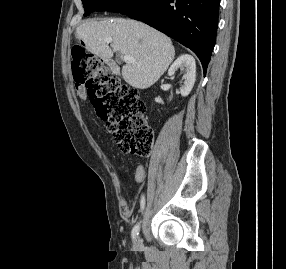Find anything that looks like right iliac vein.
Instances as JSON below:
<instances>
[{
  "label": "right iliac vein",
  "instance_id": "right-iliac-vein-1",
  "mask_svg": "<svg viewBox=\"0 0 286 269\" xmlns=\"http://www.w3.org/2000/svg\"><path fill=\"white\" fill-rule=\"evenodd\" d=\"M141 246H142V243H141L140 239H138V240L136 241V243H135V248L138 249V248H140Z\"/></svg>",
  "mask_w": 286,
  "mask_h": 269
}]
</instances>
